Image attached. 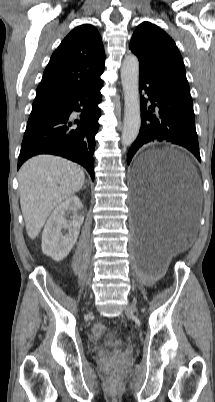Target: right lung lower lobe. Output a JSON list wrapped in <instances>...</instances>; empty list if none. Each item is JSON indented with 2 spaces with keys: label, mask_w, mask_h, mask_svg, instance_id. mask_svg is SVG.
<instances>
[{
  "label": "right lung lower lobe",
  "mask_w": 215,
  "mask_h": 402,
  "mask_svg": "<svg viewBox=\"0 0 215 402\" xmlns=\"http://www.w3.org/2000/svg\"><path fill=\"white\" fill-rule=\"evenodd\" d=\"M103 81L73 92L58 102L56 108L27 124L18 168L30 157L54 154L81 164L94 180L95 135L99 128ZM81 112L78 119L73 112Z\"/></svg>",
  "instance_id": "1"
}]
</instances>
